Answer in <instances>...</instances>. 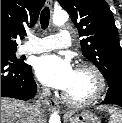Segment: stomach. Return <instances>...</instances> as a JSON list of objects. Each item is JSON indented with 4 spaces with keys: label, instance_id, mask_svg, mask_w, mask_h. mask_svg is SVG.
<instances>
[{
    "label": "stomach",
    "instance_id": "1",
    "mask_svg": "<svg viewBox=\"0 0 122 123\" xmlns=\"http://www.w3.org/2000/svg\"><path fill=\"white\" fill-rule=\"evenodd\" d=\"M66 121L69 123H101L100 118L88 110H83L75 116H67Z\"/></svg>",
    "mask_w": 122,
    "mask_h": 123
}]
</instances>
